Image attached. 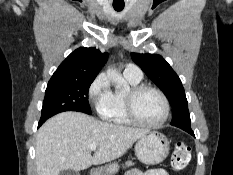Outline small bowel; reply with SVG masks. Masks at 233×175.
Wrapping results in <instances>:
<instances>
[{"instance_id":"obj_1","label":"small bowel","mask_w":233,"mask_h":175,"mask_svg":"<svg viewBox=\"0 0 233 175\" xmlns=\"http://www.w3.org/2000/svg\"><path fill=\"white\" fill-rule=\"evenodd\" d=\"M125 175H168L165 169L157 168L150 169L147 171H141L139 169H132L128 171Z\"/></svg>"}]
</instances>
